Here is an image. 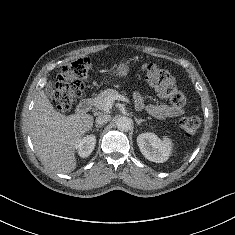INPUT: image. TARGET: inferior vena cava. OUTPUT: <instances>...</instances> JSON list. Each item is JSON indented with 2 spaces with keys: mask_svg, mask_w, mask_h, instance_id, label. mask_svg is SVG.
<instances>
[{
  "mask_svg": "<svg viewBox=\"0 0 235 235\" xmlns=\"http://www.w3.org/2000/svg\"><path fill=\"white\" fill-rule=\"evenodd\" d=\"M110 118H111V116L107 115V114L99 115L96 118V123H97V125H104L105 123L110 121Z\"/></svg>",
  "mask_w": 235,
  "mask_h": 235,
  "instance_id": "inferior-vena-cava-1",
  "label": "inferior vena cava"
}]
</instances>
